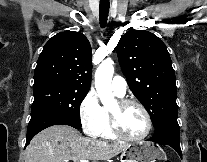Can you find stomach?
Listing matches in <instances>:
<instances>
[{
	"label": "stomach",
	"instance_id": "0dacf381",
	"mask_svg": "<svg viewBox=\"0 0 207 162\" xmlns=\"http://www.w3.org/2000/svg\"><path fill=\"white\" fill-rule=\"evenodd\" d=\"M122 162H156L166 160V154L161 147L150 142L133 143L121 154Z\"/></svg>",
	"mask_w": 207,
	"mask_h": 162
}]
</instances>
